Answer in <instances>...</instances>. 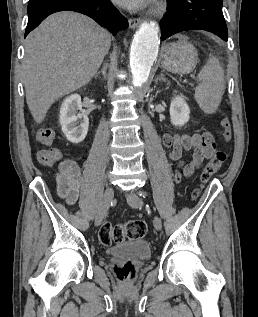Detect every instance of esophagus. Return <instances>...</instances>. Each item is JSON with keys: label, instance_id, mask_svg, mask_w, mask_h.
<instances>
[{"label": "esophagus", "instance_id": "1", "mask_svg": "<svg viewBox=\"0 0 258 317\" xmlns=\"http://www.w3.org/2000/svg\"><path fill=\"white\" fill-rule=\"evenodd\" d=\"M128 23H129V27L134 29L142 23V20L140 18H130L128 20Z\"/></svg>", "mask_w": 258, "mask_h": 317}]
</instances>
